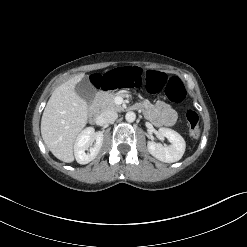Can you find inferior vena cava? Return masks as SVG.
Listing matches in <instances>:
<instances>
[{
	"instance_id": "602c4592",
	"label": "inferior vena cava",
	"mask_w": 247,
	"mask_h": 247,
	"mask_svg": "<svg viewBox=\"0 0 247 247\" xmlns=\"http://www.w3.org/2000/svg\"><path fill=\"white\" fill-rule=\"evenodd\" d=\"M118 118V114L114 110H106L100 115V119L103 123H113Z\"/></svg>"
}]
</instances>
